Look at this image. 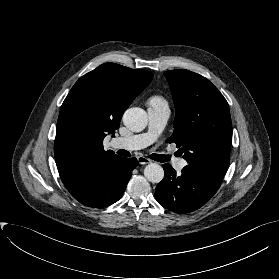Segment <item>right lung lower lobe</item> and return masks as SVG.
I'll return each instance as SVG.
<instances>
[{"instance_id":"1","label":"right lung lower lobe","mask_w":279,"mask_h":279,"mask_svg":"<svg viewBox=\"0 0 279 279\" xmlns=\"http://www.w3.org/2000/svg\"><path fill=\"white\" fill-rule=\"evenodd\" d=\"M137 165L136 158L118 157L110 163L84 171L65 187L85 206L106 207L122 197Z\"/></svg>"}]
</instances>
